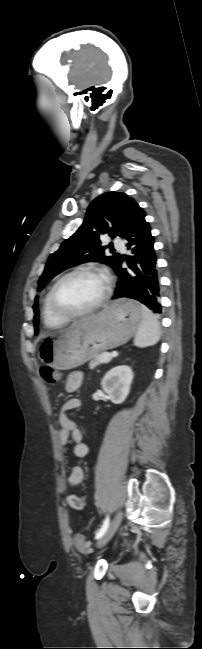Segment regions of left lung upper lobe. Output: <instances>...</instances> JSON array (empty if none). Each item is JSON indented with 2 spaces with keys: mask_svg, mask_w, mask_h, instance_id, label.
<instances>
[{
  "mask_svg": "<svg viewBox=\"0 0 202 649\" xmlns=\"http://www.w3.org/2000/svg\"><path fill=\"white\" fill-rule=\"evenodd\" d=\"M143 216L145 212L142 208L125 193L107 192L97 197L90 204L81 227L49 257L38 281V291L58 273L88 260H101L113 267L120 255L106 256L104 251L111 244L102 246L101 236L108 234L112 238H123L131 225ZM33 309L35 334H38V297L35 298Z\"/></svg>",
  "mask_w": 202,
  "mask_h": 649,
  "instance_id": "left-lung-upper-lobe-1",
  "label": "left lung upper lobe"
}]
</instances>
